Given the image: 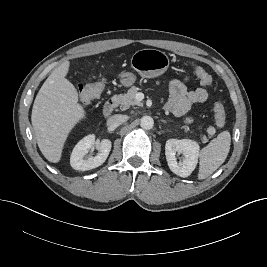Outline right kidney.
Listing matches in <instances>:
<instances>
[{
	"instance_id": "obj_1",
	"label": "right kidney",
	"mask_w": 267,
	"mask_h": 267,
	"mask_svg": "<svg viewBox=\"0 0 267 267\" xmlns=\"http://www.w3.org/2000/svg\"><path fill=\"white\" fill-rule=\"evenodd\" d=\"M94 143L95 136L88 135L76 144L70 157V165L73 169L87 171L102 165L106 161L112 146L109 139H103L100 142L98 146L99 152L95 157L84 158Z\"/></svg>"
}]
</instances>
